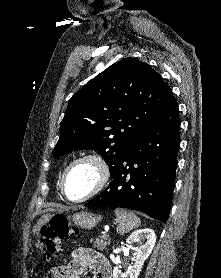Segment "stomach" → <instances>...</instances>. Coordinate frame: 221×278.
Masks as SVG:
<instances>
[{
  "instance_id": "stomach-1",
  "label": "stomach",
  "mask_w": 221,
  "mask_h": 278,
  "mask_svg": "<svg viewBox=\"0 0 221 278\" xmlns=\"http://www.w3.org/2000/svg\"><path fill=\"white\" fill-rule=\"evenodd\" d=\"M73 223L82 228V229H92L99 221L102 220L100 215H95L88 212H80L74 214L72 217H69ZM51 220V216L44 215L41 219L38 220L36 225L33 227V235L37 238L41 236V229L43 226L48 224Z\"/></svg>"
}]
</instances>
